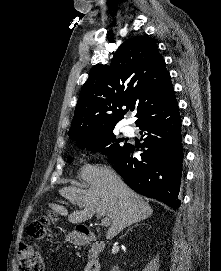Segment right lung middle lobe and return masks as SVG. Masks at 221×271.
<instances>
[{
	"label": "right lung middle lobe",
	"mask_w": 221,
	"mask_h": 271,
	"mask_svg": "<svg viewBox=\"0 0 221 271\" xmlns=\"http://www.w3.org/2000/svg\"><path fill=\"white\" fill-rule=\"evenodd\" d=\"M76 144L81 149H87L94 152H101L102 154L108 155L111 163L116 159V157L128 146L127 143L120 145V139H116L113 134V128L91 134L85 135L74 139Z\"/></svg>",
	"instance_id": "right-lung-middle-lobe-1"
}]
</instances>
